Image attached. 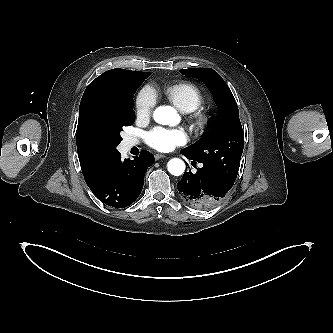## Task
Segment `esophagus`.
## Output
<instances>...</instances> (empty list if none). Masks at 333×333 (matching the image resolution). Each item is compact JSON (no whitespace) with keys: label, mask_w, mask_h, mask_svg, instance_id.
<instances>
[{"label":"esophagus","mask_w":333,"mask_h":333,"mask_svg":"<svg viewBox=\"0 0 333 333\" xmlns=\"http://www.w3.org/2000/svg\"><path fill=\"white\" fill-rule=\"evenodd\" d=\"M155 160L157 161V160H160V159H162V158H166V156L164 155V154H155Z\"/></svg>","instance_id":"1"}]
</instances>
